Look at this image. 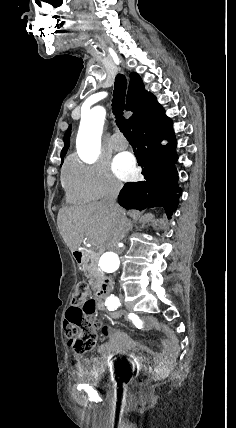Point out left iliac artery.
Masks as SVG:
<instances>
[{
	"label": "left iliac artery",
	"mask_w": 236,
	"mask_h": 428,
	"mask_svg": "<svg viewBox=\"0 0 236 428\" xmlns=\"http://www.w3.org/2000/svg\"><path fill=\"white\" fill-rule=\"evenodd\" d=\"M120 305L119 299L112 294L105 301V306H107L109 311L116 310Z\"/></svg>",
	"instance_id": "44dca946"
}]
</instances>
